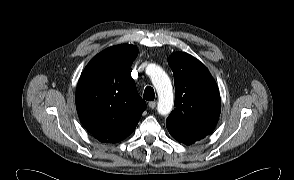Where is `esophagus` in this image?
Masks as SVG:
<instances>
[{"label":"esophagus","mask_w":294,"mask_h":180,"mask_svg":"<svg viewBox=\"0 0 294 180\" xmlns=\"http://www.w3.org/2000/svg\"><path fill=\"white\" fill-rule=\"evenodd\" d=\"M148 106L151 108V109H154L156 107V102L155 101H150L148 103Z\"/></svg>","instance_id":"obj_1"}]
</instances>
